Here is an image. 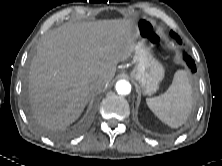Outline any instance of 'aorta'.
I'll return each mask as SVG.
<instances>
[{
    "instance_id": "aorta-1",
    "label": "aorta",
    "mask_w": 222,
    "mask_h": 166,
    "mask_svg": "<svg viewBox=\"0 0 222 166\" xmlns=\"http://www.w3.org/2000/svg\"><path fill=\"white\" fill-rule=\"evenodd\" d=\"M116 91L118 94L127 95L131 92V84L126 80H120L116 83Z\"/></svg>"
}]
</instances>
